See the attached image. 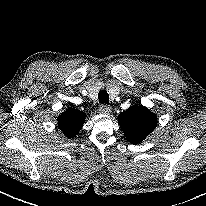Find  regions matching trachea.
<instances>
[{
    "mask_svg": "<svg viewBox=\"0 0 206 206\" xmlns=\"http://www.w3.org/2000/svg\"><path fill=\"white\" fill-rule=\"evenodd\" d=\"M98 99L102 104H109V94L107 93V91H100L98 94Z\"/></svg>",
    "mask_w": 206,
    "mask_h": 206,
    "instance_id": "obj_1",
    "label": "trachea"
}]
</instances>
